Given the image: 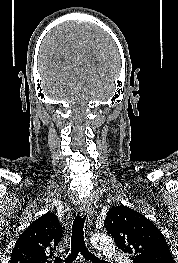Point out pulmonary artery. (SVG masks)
<instances>
[{
  "instance_id": "e3ab8cb5",
  "label": "pulmonary artery",
  "mask_w": 178,
  "mask_h": 263,
  "mask_svg": "<svg viewBox=\"0 0 178 263\" xmlns=\"http://www.w3.org/2000/svg\"><path fill=\"white\" fill-rule=\"evenodd\" d=\"M114 257H115V261H117V263H131L127 257H125L121 254H116Z\"/></svg>"
}]
</instances>
